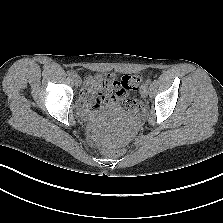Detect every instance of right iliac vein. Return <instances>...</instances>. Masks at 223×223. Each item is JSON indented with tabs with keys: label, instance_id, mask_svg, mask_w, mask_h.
I'll return each mask as SVG.
<instances>
[{
	"label": "right iliac vein",
	"instance_id": "1",
	"mask_svg": "<svg viewBox=\"0 0 223 223\" xmlns=\"http://www.w3.org/2000/svg\"><path fill=\"white\" fill-rule=\"evenodd\" d=\"M73 79L76 86H80L82 84V80L79 75H74Z\"/></svg>",
	"mask_w": 223,
	"mask_h": 223
}]
</instances>
